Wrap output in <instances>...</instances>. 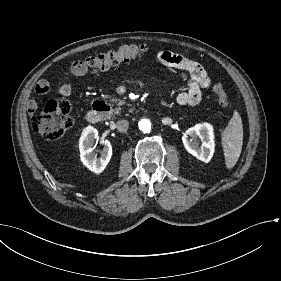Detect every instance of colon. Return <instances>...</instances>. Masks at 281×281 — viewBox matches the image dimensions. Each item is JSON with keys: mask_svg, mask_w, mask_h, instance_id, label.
Here are the masks:
<instances>
[{"mask_svg": "<svg viewBox=\"0 0 281 281\" xmlns=\"http://www.w3.org/2000/svg\"><path fill=\"white\" fill-rule=\"evenodd\" d=\"M147 50L148 46L146 44L121 46L115 51L93 56L85 61L75 62V71L82 72L85 69L83 64L93 72L103 71L140 58ZM214 92L218 96L221 106L228 107L231 104V100L222 85L216 84ZM72 124L73 115L70 110V104L61 98L48 101L42 111L36 114L32 120L34 130L41 138L47 141L60 139Z\"/></svg>", "mask_w": 281, "mask_h": 281, "instance_id": "obj_1", "label": "colon"}]
</instances>
